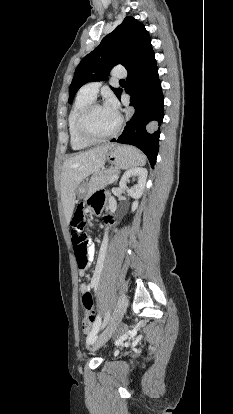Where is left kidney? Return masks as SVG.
Returning <instances> with one entry per match:
<instances>
[{
    "label": "left kidney",
    "instance_id": "obj_1",
    "mask_svg": "<svg viewBox=\"0 0 233 414\" xmlns=\"http://www.w3.org/2000/svg\"><path fill=\"white\" fill-rule=\"evenodd\" d=\"M147 170L145 168L135 167L127 170L120 182L119 186L121 189L126 190L128 195H130L135 201L132 204V212H134L138 207V199L142 196L146 179H147ZM137 177V184L133 188L127 187V182L129 181L130 177Z\"/></svg>",
    "mask_w": 233,
    "mask_h": 414
}]
</instances>
